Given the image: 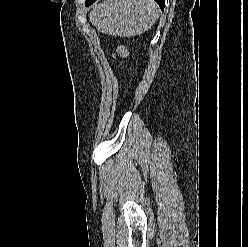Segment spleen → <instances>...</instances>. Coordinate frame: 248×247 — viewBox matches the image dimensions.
Listing matches in <instances>:
<instances>
[{"label":"spleen","mask_w":248,"mask_h":247,"mask_svg":"<svg viewBox=\"0 0 248 247\" xmlns=\"http://www.w3.org/2000/svg\"><path fill=\"white\" fill-rule=\"evenodd\" d=\"M158 15L154 0H107L93 7L89 20L102 33L131 37L148 30Z\"/></svg>","instance_id":"spleen-1"}]
</instances>
